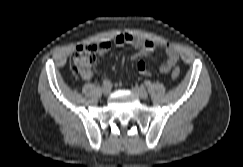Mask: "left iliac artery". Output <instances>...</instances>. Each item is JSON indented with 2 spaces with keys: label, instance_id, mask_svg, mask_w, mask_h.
Masks as SVG:
<instances>
[{
  "label": "left iliac artery",
  "instance_id": "1",
  "mask_svg": "<svg viewBox=\"0 0 243 167\" xmlns=\"http://www.w3.org/2000/svg\"><path fill=\"white\" fill-rule=\"evenodd\" d=\"M144 83H145L146 86H150L151 85V82L149 80H146Z\"/></svg>",
  "mask_w": 243,
  "mask_h": 167
}]
</instances>
